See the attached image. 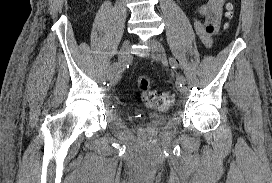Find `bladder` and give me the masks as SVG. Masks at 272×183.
I'll list each match as a JSON object with an SVG mask.
<instances>
[{"label":"bladder","instance_id":"obj_1","mask_svg":"<svg viewBox=\"0 0 272 183\" xmlns=\"http://www.w3.org/2000/svg\"><path fill=\"white\" fill-rule=\"evenodd\" d=\"M163 123V119H161V118H158V119H155L154 120V124L155 125H160V124H162Z\"/></svg>","mask_w":272,"mask_h":183}]
</instances>
